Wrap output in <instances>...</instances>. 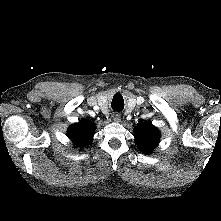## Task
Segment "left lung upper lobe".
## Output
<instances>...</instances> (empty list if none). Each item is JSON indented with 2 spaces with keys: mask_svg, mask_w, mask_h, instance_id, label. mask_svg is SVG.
Wrapping results in <instances>:
<instances>
[{
  "mask_svg": "<svg viewBox=\"0 0 221 221\" xmlns=\"http://www.w3.org/2000/svg\"><path fill=\"white\" fill-rule=\"evenodd\" d=\"M160 131L151 123H141L134 128L135 143L143 153H150L159 143Z\"/></svg>",
  "mask_w": 221,
  "mask_h": 221,
  "instance_id": "obj_1",
  "label": "left lung upper lobe"
}]
</instances>
